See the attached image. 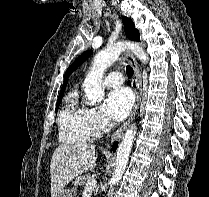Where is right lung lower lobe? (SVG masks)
I'll list each match as a JSON object with an SVG mask.
<instances>
[{
	"instance_id": "1",
	"label": "right lung lower lobe",
	"mask_w": 209,
	"mask_h": 197,
	"mask_svg": "<svg viewBox=\"0 0 209 197\" xmlns=\"http://www.w3.org/2000/svg\"><path fill=\"white\" fill-rule=\"evenodd\" d=\"M117 149V142L113 144L112 150L115 152Z\"/></svg>"
}]
</instances>
